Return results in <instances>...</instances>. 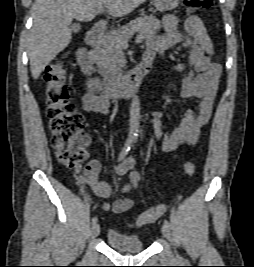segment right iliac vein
Returning a JSON list of instances; mask_svg holds the SVG:
<instances>
[{
    "label": "right iliac vein",
    "instance_id": "right-iliac-vein-1",
    "mask_svg": "<svg viewBox=\"0 0 254 267\" xmlns=\"http://www.w3.org/2000/svg\"><path fill=\"white\" fill-rule=\"evenodd\" d=\"M99 233H100L99 224H94L91 228V237L94 238V237L98 236Z\"/></svg>",
    "mask_w": 254,
    "mask_h": 267
}]
</instances>
